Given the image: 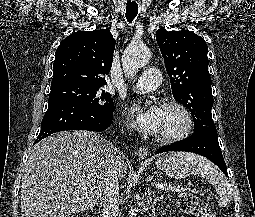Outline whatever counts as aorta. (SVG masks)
<instances>
[{
  "mask_svg": "<svg viewBox=\"0 0 255 217\" xmlns=\"http://www.w3.org/2000/svg\"><path fill=\"white\" fill-rule=\"evenodd\" d=\"M151 58L150 50L141 45L130 44L123 53L122 65L125 76L133 77ZM137 211L130 210L129 217H136Z\"/></svg>",
  "mask_w": 255,
  "mask_h": 217,
  "instance_id": "obj_1",
  "label": "aorta"
}]
</instances>
